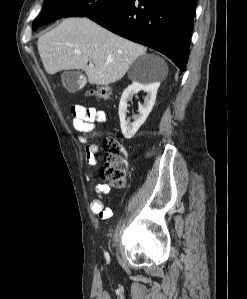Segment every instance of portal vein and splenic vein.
<instances>
[{
	"label": "portal vein and splenic vein",
	"instance_id": "portal-vein-and-splenic-vein-1",
	"mask_svg": "<svg viewBox=\"0 0 247 299\" xmlns=\"http://www.w3.org/2000/svg\"><path fill=\"white\" fill-rule=\"evenodd\" d=\"M89 66H90V67H93V66H94V64H93L92 62H90V63H89Z\"/></svg>",
	"mask_w": 247,
	"mask_h": 299
}]
</instances>
